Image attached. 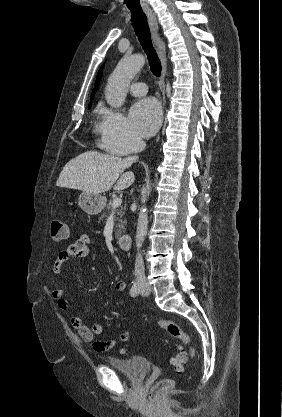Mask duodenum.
Instances as JSON below:
<instances>
[{
	"instance_id": "obj_1",
	"label": "duodenum",
	"mask_w": 282,
	"mask_h": 417,
	"mask_svg": "<svg viewBox=\"0 0 282 417\" xmlns=\"http://www.w3.org/2000/svg\"><path fill=\"white\" fill-rule=\"evenodd\" d=\"M130 241H131V237L128 234L120 235L117 238L118 246L123 250L129 249Z\"/></svg>"
}]
</instances>
